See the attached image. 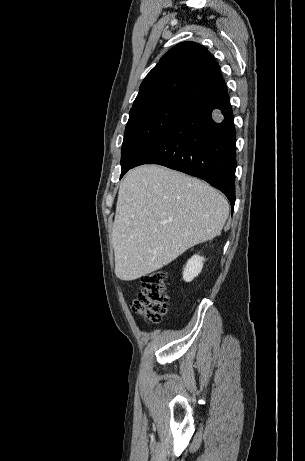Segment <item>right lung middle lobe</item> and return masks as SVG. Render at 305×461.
Wrapping results in <instances>:
<instances>
[{
  "label": "right lung middle lobe",
  "instance_id": "right-lung-middle-lobe-1",
  "mask_svg": "<svg viewBox=\"0 0 305 461\" xmlns=\"http://www.w3.org/2000/svg\"><path fill=\"white\" fill-rule=\"evenodd\" d=\"M189 106L163 103L130 112L121 149L122 170L166 136Z\"/></svg>",
  "mask_w": 305,
  "mask_h": 461
}]
</instances>
